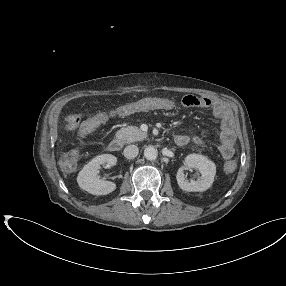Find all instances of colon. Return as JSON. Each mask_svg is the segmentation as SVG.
I'll list each match as a JSON object with an SVG mask.
<instances>
[{"label": "colon", "mask_w": 286, "mask_h": 286, "mask_svg": "<svg viewBox=\"0 0 286 286\" xmlns=\"http://www.w3.org/2000/svg\"><path fill=\"white\" fill-rule=\"evenodd\" d=\"M72 118L73 120L78 123L79 120H80V117L77 115V114H72ZM90 131V128L89 127H82L81 128V133L83 135L85 134H88ZM78 161V156L75 152H71V153H68L67 155H65L62 159V163L63 165L67 168V169H72L74 168V166L76 165ZM235 169V163L233 161H229L227 164H226V170L231 172Z\"/></svg>", "instance_id": "obj_1"}]
</instances>
